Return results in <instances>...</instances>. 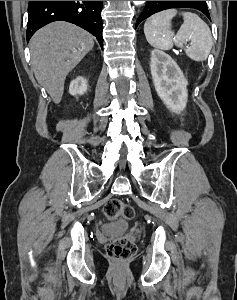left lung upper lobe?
Instances as JSON below:
<instances>
[{
    "instance_id": "obj_1",
    "label": "left lung upper lobe",
    "mask_w": 237,
    "mask_h": 300,
    "mask_svg": "<svg viewBox=\"0 0 237 300\" xmlns=\"http://www.w3.org/2000/svg\"><path fill=\"white\" fill-rule=\"evenodd\" d=\"M170 8H194L203 12L210 19L206 1H148L136 21V26L152 14Z\"/></svg>"
}]
</instances>
